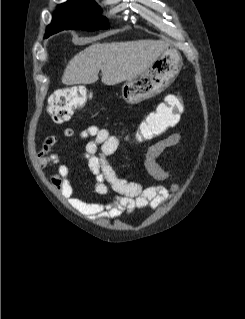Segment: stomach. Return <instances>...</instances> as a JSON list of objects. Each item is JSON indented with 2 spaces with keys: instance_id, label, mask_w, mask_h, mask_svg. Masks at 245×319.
Segmentation results:
<instances>
[{
  "instance_id": "0dacf381",
  "label": "stomach",
  "mask_w": 245,
  "mask_h": 319,
  "mask_svg": "<svg viewBox=\"0 0 245 319\" xmlns=\"http://www.w3.org/2000/svg\"><path fill=\"white\" fill-rule=\"evenodd\" d=\"M182 65L179 52L167 48L144 72L123 84V100L133 105L160 94L176 79Z\"/></svg>"
}]
</instances>
